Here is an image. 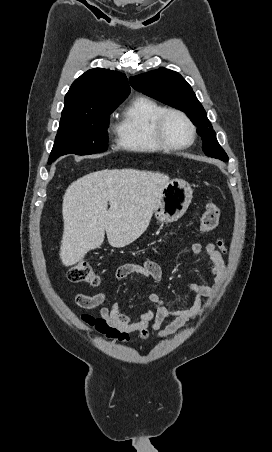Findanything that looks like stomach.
Instances as JSON below:
<instances>
[{"label":"stomach","instance_id":"0dacf381","mask_svg":"<svg viewBox=\"0 0 272 452\" xmlns=\"http://www.w3.org/2000/svg\"><path fill=\"white\" fill-rule=\"evenodd\" d=\"M193 190L182 179H172L166 184L159 196L153 213L159 223L177 221L188 209L192 200Z\"/></svg>","mask_w":272,"mask_h":452}]
</instances>
